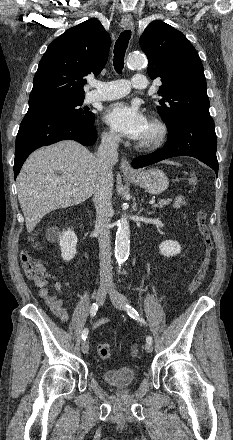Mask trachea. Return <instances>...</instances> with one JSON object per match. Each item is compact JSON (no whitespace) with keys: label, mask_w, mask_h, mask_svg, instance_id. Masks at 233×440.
I'll return each mask as SVG.
<instances>
[{"label":"trachea","mask_w":233,"mask_h":440,"mask_svg":"<svg viewBox=\"0 0 233 440\" xmlns=\"http://www.w3.org/2000/svg\"><path fill=\"white\" fill-rule=\"evenodd\" d=\"M131 37V31L125 30L123 31L119 38L117 39L115 46H114V68L117 73H121L123 67H124V56L126 49L128 47V43Z\"/></svg>","instance_id":"3493384b"}]
</instances>
